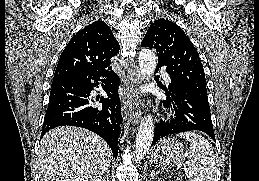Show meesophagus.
<instances>
[{
  "label": "esophagus",
  "instance_id": "esophagus-1",
  "mask_svg": "<svg viewBox=\"0 0 259 181\" xmlns=\"http://www.w3.org/2000/svg\"><path fill=\"white\" fill-rule=\"evenodd\" d=\"M141 84V75L137 68L129 72V87L123 96V109L134 123H138L141 117V110L136 104V93Z\"/></svg>",
  "mask_w": 259,
  "mask_h": 181
}]
</instances>
